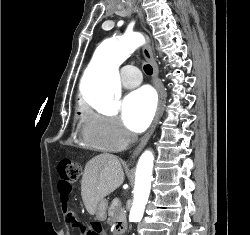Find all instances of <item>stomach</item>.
<instances>
[{
  "label": "stomach",
  "instance_id": "obj_1",
  "mask_svg": "<svg viewBox=\"0 0 250 235\" xmlns=\"http://www.w3.org/2000/svg\"><path fill=\"white\" fill-rule=\"evenodd\" d=\"M106 209L107 201L105 199L100 200L95 210V216L97 220L104 221L106 219Z\"/></svg>",
  "mask_w": 250,
  "mask_h": 235
}]
</instances>
